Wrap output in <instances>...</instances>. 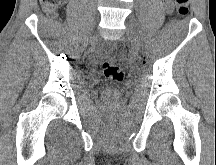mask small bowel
<instances>
[{"label":"small bowel","mask_w":216,"mask_h":165,"mask_svg":"<svg viewBox=\"0 0 216 165\" xmlns=\"http://www.w3.org/2000/svg\"><path fill=\"white\" fill-rule=\"evenodd\" d=\"M166 7L170 9L172 7L171 0H165Z\"/></svg>","instance_id":"obj_1"}]
</instances>
